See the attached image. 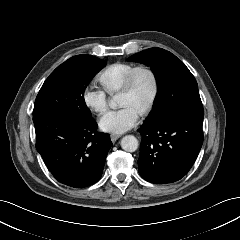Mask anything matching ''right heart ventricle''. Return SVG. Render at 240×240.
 Here are the masks:
<instances>
[{"label": "right heart ventricle", "mask_w": 240, "mask_h": 240, "mask_svg": "<svg viewBox=\"0 0 240 240\" xmlns=\"http://www.w3.org/2000/svg\"><path fill=\"white\" fill-rule=\"evenodd\" d=\"M135 67L128 62H116L107 66L99 75L98 81L105 92L113 95L119 92L126 76Z\"/></svg>", "instance_id": "e07e8e85"}]
</instances>
